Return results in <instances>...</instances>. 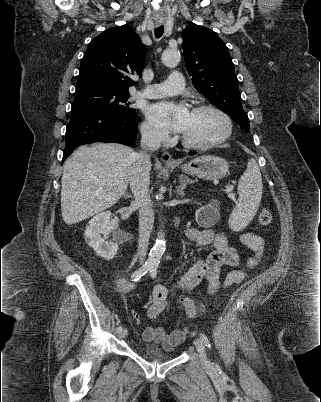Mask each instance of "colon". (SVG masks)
<instances>
[{"instance_id":"colon-1","label":"colon","mask_w":321,"mask_h":402,"mask_svg":"<svg viewBox=\"0 0 321 402\" xmlns=\"http://www.w3.org/2000/svg\"><path fill=\"white\" fill-rule=\"evenodd\" d=\"M259 223L262 226H268L272 223L273 220V216L272 213L269 209L264 208L260 211L259 213V217H258ZM204 303H200L199 306L195 309L196 312L200 311L203 307H204ZM133 318L138 321L139 320V316L138 314L134 313L133 314Z\"/></svg>"}]
</instances>
